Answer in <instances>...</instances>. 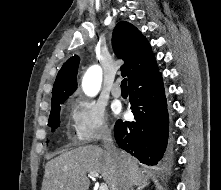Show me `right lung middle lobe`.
I'll return each mask as SVG.
<instances>
[{
  "label": "right lung middle lobe",
  "instance_id": "obj_1",
  "mask_svg": "<svg viewBox=\"0 0 221 190\" xmlns=\"http://www.w3.org/2000/svg\"><path fill=\"white\" fill-rule=\"evenodd\" d=\"M65 100H59L55 103H52V110L50 112L48 126L52 127V131H54L60 124L59 113H60V104H62Z\"/></svg>",
  "mask_w": 221,
  "mask_h": 190
}]
</instances>
